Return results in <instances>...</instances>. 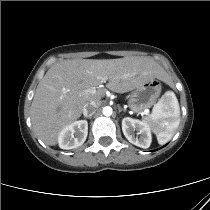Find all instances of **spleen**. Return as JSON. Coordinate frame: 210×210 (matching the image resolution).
<instances>
[{
    "label": "spleen",
    "instance_id": "spleen-1",
    "mask_svg": "<svg viewBox=\"0 0 210 210\" xmlns=\"http://www.w3.org/2000/svg\"><path fill=\"white\" fill-rule=\"evenodd\" d=\"M157 136L159 144L167 143L175 134L180 123V107L176 95L172 91L165 92L152 113L144 120Z\"/></svg>",
    "mask_w": 210,
    "mask_h": 210
}]
</instances>
